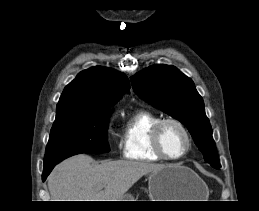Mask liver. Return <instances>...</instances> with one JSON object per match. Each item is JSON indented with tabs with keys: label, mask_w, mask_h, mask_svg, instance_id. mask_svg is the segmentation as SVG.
<instances>
[{
	"label": "liver",
	"mask_w": 259,
	"mask_h": 211,
	"mask_svg": "<svg viewBox=\"0 0 259 211\" xmlns=\"http://www.w3.org/2000/svg\"><path fill=\"white\" fill-rule=\"evenodd\" d=\"M164 165L130 160L96 163L85 154L58 164L48 177L52 201H121L143 175Z\"/></svg>",
	"instance_id": "6515ba94"
}]
</instances>
